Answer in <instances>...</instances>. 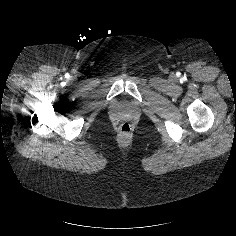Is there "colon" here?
<instances>
[{
  "instance_id": "colon-1",
  "label": "colon",
  "mask_w": 236,
  "mask_h": 236,
  "mask_svg": "<svg viewBox=\"0 0 236 236\" xmlns=\"http://www.w3.org/2000/svg\"><path fill=\"white\" fill-rule=\"evenodd\" d=\"M132 130V126L129 122H122L119 125V131L122 135L127 136Z\"/></svg>"
}]
</instances>
